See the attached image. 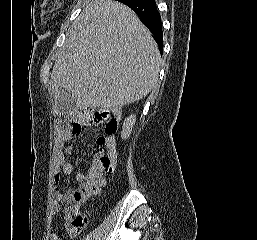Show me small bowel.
I'll return each mask as SVG.
<instances>
[{
  "mask_svg": "<svg viewBox=\"0 0 257 240\" xmlns=\"http://www.w3.org/2000/svg\"><path fill=\"white\" fill-rule=\"evenodd\" d=\"M82 129L76 131L73 129L72 125L61 128L57 130L55 139V152H54V183L56 188L59 185L62 175H71L74 173V165L72 161L68 160V156L71 154V147L67 143L74 137L81 134ZM106 148L108 153L116 158V142L114 138L110 137L107 139ZM75 179L77 182H82L85 179V175L81 172L75 174ZM73 190L68 189L64 192H58L56 199L53 201L50 209L51 220L57 215L60 208V203H68ZM78 232L72 228H68V234L70 236L76 235ZM47 240H64L53 227L48 229Z\"/></svg>",
  "mask_w": 257,
  "mask_h": 240,
  "instance_id": "small-bowel-1",
  "label": "small bowel"
}]
</instances>
